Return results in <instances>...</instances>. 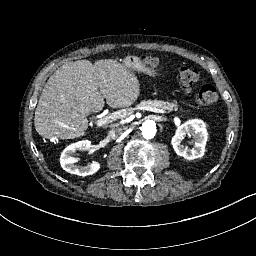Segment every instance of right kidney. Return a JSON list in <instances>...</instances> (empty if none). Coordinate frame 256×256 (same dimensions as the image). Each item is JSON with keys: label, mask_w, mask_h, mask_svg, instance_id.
I'll return each instance as SVG.
<instances>
[{"label": "right kidney", "mask_w": 256, "mask_h": 256, "mask_svg": "<svg viewBox=\"0 0 256 256\" xmlns=\"http://www.w3.org/2000/svg\"><path fill=\"white\" fill-rule=\"evenodd\" d=\"M90 147L91 141L89 140H81L67 146L61 153V167L65 171L79 176H87L96 173L100 168V164L98 162H92L87 164L86 166H77L75 163L78 161V159L72 157V154L75 153L77 150L86 151L89 150Z\"/></svg>", "instance_id": "obj_1"}]
</instances>
